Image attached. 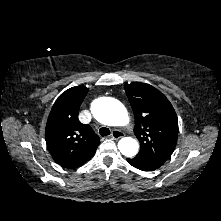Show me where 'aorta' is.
<instances>
[{"label": "aorta", "instance_id": "aorta-1", "mask_svg": "<svg viewBox=\"0 0 221 221\" xmlns=\"http://www.w3.org/2000/svg\"><path fill=\"white\" fill-rule=\"evenodd\" d=\"M93 116L102 124L109 126H124L129 117L126 108L118 100L108 97L96 99L91 105ZM118 148L126 157H134L139 150V143L130 137L119 140Z\"/></svg>", "mask_w": 221, "mask_h": 221}]
</instances>
